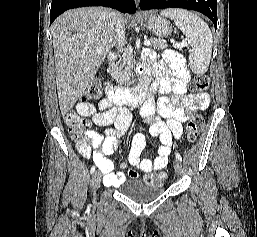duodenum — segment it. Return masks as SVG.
Listing matches in <instances>:
<instances>
[{"label":"duodenum","instance_id":"duodenum-1","mask_svg":"<svg viewBox=\"0 0 257 237\" xmlns=\"http://www.w3.org/2000/svg\"><path fill=\"white\" fill-rule=\"evenodd\" d=\"M117 56L114 52H110L107 56L109 63L115 62ZM139 73L143 75V80L141 83L133 88L127 89L122 86L113 85L111 83L107 84V97L111 101L119 104H128L130 106H137L143 102L149 95L150 80L147 69L142 66L139 69Z\"/></svg>","mask_w":257,"mask_h":237}]
</instances>
